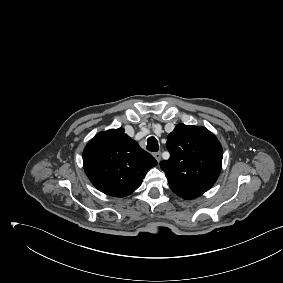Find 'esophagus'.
Segmentation results:
<instances>
[{
	"label": "esophagus",
	"mask_w": 283,
	"mask_h": 283,
	"mask_svg": "<svg viewBox=\"0 0 283 283\" xmlns=\"http://www.w3.org/2000/svg\"><path fill=\"white\" fill-rule=\"evenodd\" d=\"M153 155L155 159L157 160V162L161 161V152H155Z\"/></svg>",
	"instance_id": "esophagus-1"
}]
</instances>
